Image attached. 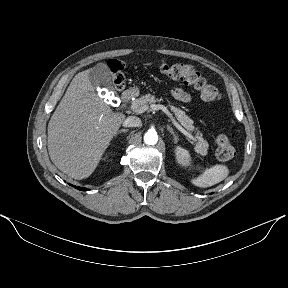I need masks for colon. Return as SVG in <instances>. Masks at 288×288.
Masks as SVG:
<instances>
[{
  "label": "colon",
  "instance_id": "colon-1",
  "mask_svg": "<svg viewBox=\"0 0 288 288\" xmlns=\"http://www.w3.org/2000/svg\"><path fill=\"white\" fill-rule=\"evenodd\" d=\"M108 66L112 73L113 84L121 90L125 86L124 65L119 60H110ZM160 72L173 80H179L184 84L194 87L199 91L203 100L216 102L220 100L221 93L217 87L207 82L201 73L194 67L185 64H167L160 66ZM235 154L231 134H220L216 139V155L220 160H229Z\"/></svg>",
  "mask_w": 288,
  "mask_h": 288
}]
</instances>
